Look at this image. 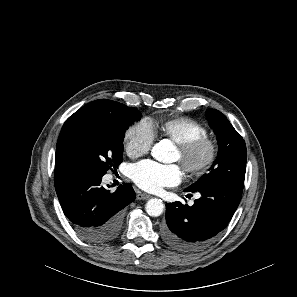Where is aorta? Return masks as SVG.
<instances>
[{
    "mask_svg": "<svg viewBox=\"0 0 297 297\" xmlns=\"http://www.w3.org/2000/svg\"><path fill=\"white\" fill-rule=\"evenodd\" d=\"M152 156L160 162H166L168 158L167 145L164 142L155 144L152 149ZM164 207L161 199L153 198L146 203L145 209L148 215L157 217L163 213Z\"/></svg>",
    "mask_w": 297,
    "mask_h": 297,
    "instance_id": "obj_1",
    "label": "aorta"
}]
</instances>
